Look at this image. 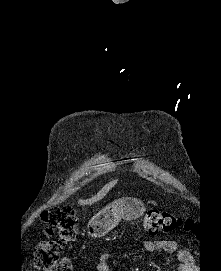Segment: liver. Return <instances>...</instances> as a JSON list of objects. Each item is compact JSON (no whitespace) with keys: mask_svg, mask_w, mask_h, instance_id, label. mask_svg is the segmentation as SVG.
<instances>
[{"mask_svg":"<svg viewBox=\"0 0 221 271\" xmlns=\"http://www.w3.org/2000/svg\"><path fill=\"white\" fill-rule=\"evenodd\" d=\"M111 187L112 183H107V185H104V187H102V189H100V191H98L94 197H90V199H86V201H81L82 205H84V203H94V201H99V199H102V197L108 193Z\"/></svg>","mask_w":221,"mask_h":271,"instance_id":"6515ba94","label":"liver"}]
</instances>
